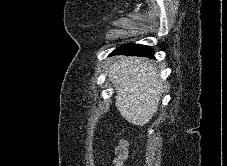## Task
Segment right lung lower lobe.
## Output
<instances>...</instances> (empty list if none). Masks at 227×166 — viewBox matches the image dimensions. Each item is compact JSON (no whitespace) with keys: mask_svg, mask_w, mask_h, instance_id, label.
Returning a JSON list of instances; mask_svg holds the SVG:
<instances>
[{"mask_svg":"<svg viewBox=\"0 0 227 166\" xmlns=\"http://www.w3.org/2000/svg\"><path fill=\"white\" fill-rule=\"evenodd\" d=\"M112 54L138 55L153 58L154 51L151 48H148L143 45L127 44L117 48L116 50L113 51Z\"/></svg>","mask_w":227,"mask_h":166,"instance_id":"right-lung-lower-lobe-1","label":"right lung lower lobe"}]
</instances>
